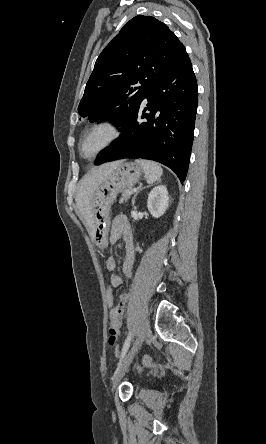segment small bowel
Masks as SVG:
<instances>
[{
  "label": "small bowel",
  "mask_w": 266,
  "mask_h": 444,
  "mask_svg": "<svg viewBox=\"0 0 266 444\" xmlns=\"http://www.w3.org/2000/svg\"><path fill=\"white\" fill-rule=\"evenodd\" d=\"M122 237L125 246V256L122 264V272L125 276L130 277L133 273L134 266L133 236L130 230L128 219L124 215H119L116 216L113 220L109 242L110 244H115ZM116 264V259L113 256H109L105 262L107 270L112 272L110 279L112 286L119 287L122 284V278L114 273L116 269ZM127 299L128 296L126 293H120L117 305L109 312V341L111 345L115 344L116 339L120 334Z\"/></svg>",
  "instance_id": "obj_1"
}]
</instances>
